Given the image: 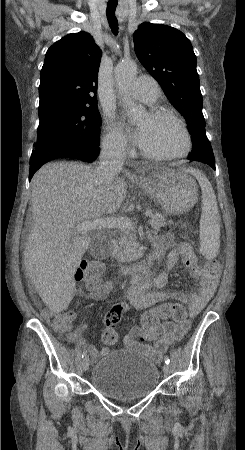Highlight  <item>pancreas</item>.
<instances>
[{
    "instance_id": "pancreas-1",
    "label": "pancreas",
    "mask_w": 245,
    "mask_h": 450,
    "mask_svg": "<svg viewBox=\"0 0 245 450\" xmlns=\"http://www.w3.org/2000/svg\"><path fill=\"white\" fill-rule=\"evenodd\" d=\"M149 224L155 230L167 225L164 216L159 214L152 215ZM136 242V231L134 227L120 230V238L114 249V256L119 262H130L139 258Z\"/></svg>"
}]
</instances>
